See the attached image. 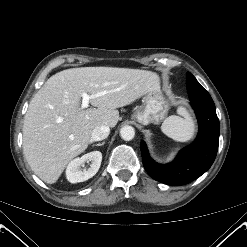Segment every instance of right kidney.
Here are the masks:
<instances>
[{
    "instance_id": "right-kidney-1",
    "label": "right kidney",
    "mask_w": 247,
    "mask_h": 247,
    "mask_svg": "<svg viewBox=\"0 0 247 247\" xmlns=\"http://www.w3.org/2000/svg\"><path fill=\"white\" fill-rule=\"evenodd\" d=\"M89 161L91 162L90 167L81 169V166ZM101 161L102 153L100 151H93L73 159L66 168L67 180L71 183H77L92 178L98 172Z\"/></svg>"
}]
</instances>
